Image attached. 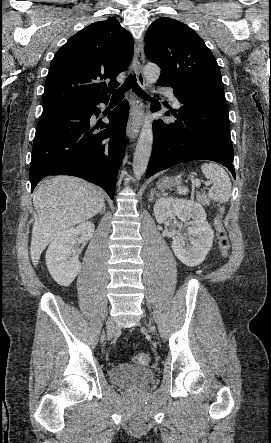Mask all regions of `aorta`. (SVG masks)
I'll return each mask as SVG.
<instances>
[{
	"instance_id": "1",
	"label": "aorta",
	"mask_w": 271,
	"mask_h": 443,
	"mask_svg": "<svg viewBox=\"0 0 271 443\" xmlns=\"http://www.w3.org/2000/svg\"><path fill=\"white\" fill-rule=\"evenodd\" d=\"M160 74L161 70L159 66H156V64H147V66H145L144 68V78L147 84H155ZM152 144L153 130L151 118L147 116L142 126V130L140 132L138 144L136 146L133 158V172L137 180H140L141 176H143L144 172H146V168L148 166L149 158L152 152Z\"/></svg>"
}]
</instances>
